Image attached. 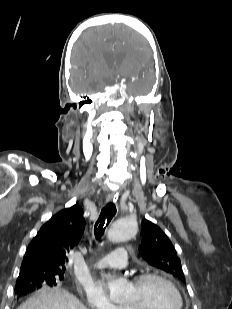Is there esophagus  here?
I'll return each instance as SVG.
<instances>
[{"label": "esophagus", "instance_id": "esophagus-1", "mask_svg": "<svg viewBox=\"0 0 232 309\" xmlns=\"http://www.w3.org/2000/svg\"><path fill=\"white\" fill-rule=\"evenodd\" d=\"M112 200H114L113 195H109V196L107 197V201H112Z\"/></svg>", "mask_w": 232, "mask_h": 309}]
</instances>
